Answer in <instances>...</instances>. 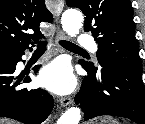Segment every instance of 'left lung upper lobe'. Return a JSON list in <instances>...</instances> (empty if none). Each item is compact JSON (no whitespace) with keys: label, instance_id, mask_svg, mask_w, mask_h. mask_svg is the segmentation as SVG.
I'll return each mask as SVG.
<instances>
[{"label":"left lung upper lobe","instance_id":"left-lung-upper-lobe-1","mask_svg":"<svg viewBox=\"0 0 145 124\" xmlns=\"http://www.w3.org/2000/svg\"><path fill=\"white\" fill-rule=\"evenodd\" d=\"M66 4L86 15L84 30L91 31L98 44L101 66L116 64L142 72L130 0H66Z\"/></svg>","mask_w":145,"mask_h":124}]
</instances>
